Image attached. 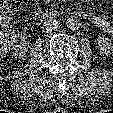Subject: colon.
I'll list each match as a JSON object with an SVG mask.
<instances>
[{"label": "colon", "mask_w": 113, "mask_h": 113, "mask_svg": "<svg viewBox=\"0 0 113 113\" xmlns=\"http://www.w3.org/2000/svg\"><path fill=\"white\" fill-rule=\"evenodd\" d=\"M13 0H0V11L5 4ZM14 31L11 27L1 24L0 22V57L4 56L11 48L14 40Z\"/></svg>", "instance_id": "obj_1"}]
</instances>
